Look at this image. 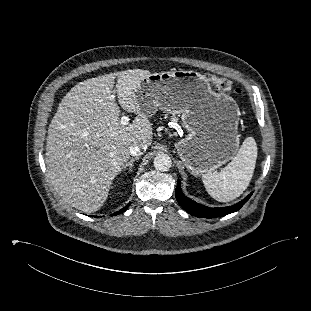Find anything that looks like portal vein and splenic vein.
I'll list each match as a JSON object with an SVG mask.
<instances>
[{
  "mask_svg": "<svg viewBox=\"0 0 311 311\" xmlns=\"http://www.w3.org/2000/svg\"><path fill=\"white\" fill-rule=\"evenodd\" d=\"M129 120H130L129 116L128 115H124V116L121 117L120 122H121V124L123 126H126V125H128Z\"/></svg>",
  "mask_w": 311,
  "mask_h": 311,
  "instance_id": "portal-vein-and-splenic-vein-1",
  "label": "portal vein and splenic vein"
}]
</instances>
